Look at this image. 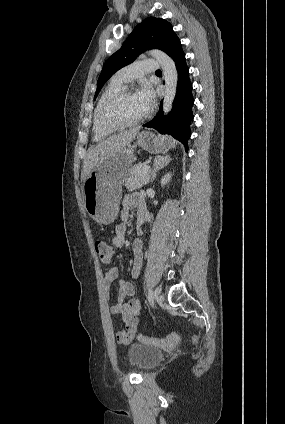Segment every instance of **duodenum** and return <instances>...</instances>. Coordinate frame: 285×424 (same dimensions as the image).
Wrapping results in <instances>:
<instances>
[{
	"label": "duodenum",
	"instance_id": "duodenum-1",
	"mask_svg": "<svg viewBox=\"0 0 285 424\" xmlns=\"http://www.w3.org/2000/svg\"><path fill=\"white\" fill-rule=\"evenodd\" d=\"M144 223H145V221H144V220H142L139 224H140V225H144Z\"/></svg>",
	"mask_w": 285,
	"mask_h": 424
}]
</instances>
